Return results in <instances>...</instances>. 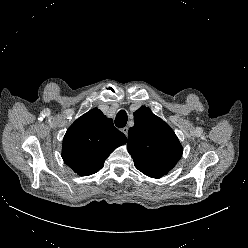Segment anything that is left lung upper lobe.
<instances>
[{"instance_id": "1", "label": "left lung upper lobe", "mask_w": 248, "mask_h": 248, "mask_svg": "<svg viewBox=\"0 0 248 248\" xmlns=\"http://www.w3.org/2000/svg\"><path fill=\"white\" fill-rule=\"evenodd\" d=\"M127 148L135 167L152 178L166 175L181 158L183 149L174 131L145 106L134 112Z\"/></svg>"}]
</instances>
